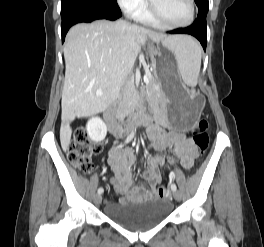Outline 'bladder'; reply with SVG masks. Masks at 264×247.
Segmentation results:
<instances>
[{
    "mask_svg": "<svg viewBox=\"0 0 264 247\" xmlns=\"http://www.w3.org/2000/svg\"><path fill=\"white\" fill-rule=\"evenodd\" d=\"M170 201L162 198L146 201L125 200L105 207V215L112 222L134 231H144L163 222L170 214Z\"/></svg>",
    "mask_w": 264,
    "mask_h": 247,
    "instance_id": "31cf9c89",
    "label": "bladder"
}]
</instances>
